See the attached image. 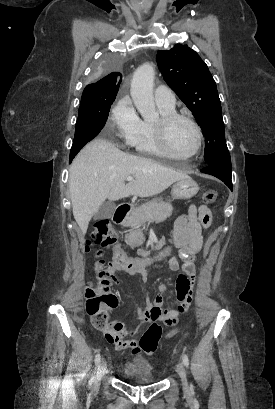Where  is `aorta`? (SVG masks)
Returning <instances> with one entry per match:
<instances>
[{
	"mask_svg": "<svg viewBox=\"0 0 275 409\" xmlns=\"http://www.w3.org/2000/svg\"><path fill=\"white\" fill-rule=\"evenodd\" d=\"M154 74L153 64L144 62V64L136 68L131 80V96L144 120H156V118H159L153 94Z\"/></svg>",
	"mask_w": 275,
	"mask_h": 409,
	"instance_id": "aorta-1",
	"label": "aorta"
}]
</instances>
